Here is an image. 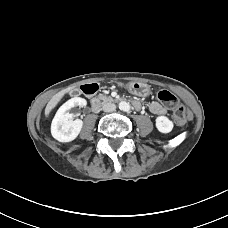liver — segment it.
Wrapping results in <instances>:
<instances>
[{
  "instance_id": "6515ba94",
  "label": "liver",
  "mask_w": 228,
  "mask_h": 228,
  "mask_svg": "<svg viewBox=\"0 0 228 228\" xmlns=\"http://www.w3.org/2000/svg\"><path fill=\"white\" fill-rule=\"evenodd\" d=\"M65 92H59L56 95L52 97V99L48 102L46 109H45V116L48 117L51 110L57 105V103L60 101L62 96Z\"/></svg>"
}]
</instances>
